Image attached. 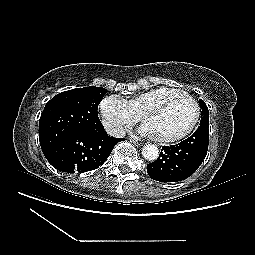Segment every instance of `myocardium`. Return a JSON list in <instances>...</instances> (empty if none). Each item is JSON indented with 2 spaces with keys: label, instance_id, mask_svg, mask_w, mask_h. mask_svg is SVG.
I'll list each match as a JSON object with an SVG mask.
<instances>
[{
  "label": "myocardium",
  "instance_id": "f54148a6",
  "mask_svg": "<svg viewBox=\"0 0 255 255\" xmlns=\"http://www.w3.org/2000/svg\"><path fill=\"white\" fill-rule=\"evenodd\" d=\"M175 97L184 98L193 105L194 110H195L194 118H193L191 124L188 126V128H186L184 131H182L178 134L171 135V136H155L154 139L158 142L169 143V142H175V141L185 138L195 129V127L197 126V124L200 120L201 108H200L199 103L189 93L182 91V90H175L173 92H170V93L165 94L164 96L158 98L156 101H154L152 104H150L142 112V114L140 116L141 120L144 122L145 117L148 113L159 108L161 105H163L164 103L168 102L169 100H171L172 98H175Z\"/></svg>",
  "mask_w": 255,
  "mask_h": 255
}]
</instances>
